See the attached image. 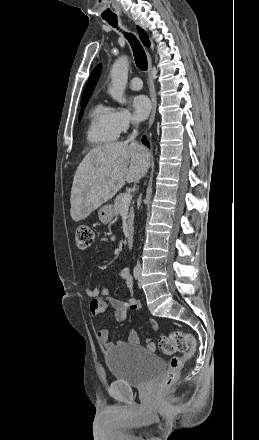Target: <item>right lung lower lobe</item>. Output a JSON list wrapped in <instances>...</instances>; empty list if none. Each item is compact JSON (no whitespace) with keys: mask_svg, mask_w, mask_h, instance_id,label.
Masks as SVG:
<instances>
[{"mask_svg":"<svg viewBox=\"0 0 259 440\" xmlns=\"http://www.w3.org/2000/svg\"><path fill=\"white\" fill-rule=\"evenodd\" d=\"M142 142H143L146 146H148V142L146 141V138H145V137H143Z\"/></svg>","mask_w":259,"mask_h":440,"instance_id":"1","label":"right lung lower lobe"}]
</instances>
